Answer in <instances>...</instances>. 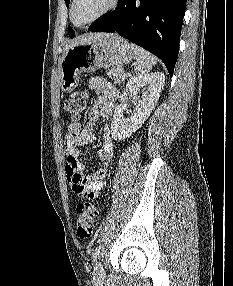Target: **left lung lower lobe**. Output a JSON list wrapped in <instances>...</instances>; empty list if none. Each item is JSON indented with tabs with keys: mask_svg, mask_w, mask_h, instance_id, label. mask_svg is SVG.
Listing matches in <instances>:
<instances>
[{
	"mask_svg": "<svg viewBox=\"0 0 233 286\" xmlns=\"http://www.w3.org/2000/svg\"><path fill=\"white\" fill-rule=\"evenodd\" d=\"M186 0H119L112 13L89 27L92 32H117L159 57L170 76L179 52Z\"/></svg>",
	"mask_w": 233,
	"mask_h": 286,
	"instance_id": "1",
	"label": "left lung lower lobe"
}]
</instances>
